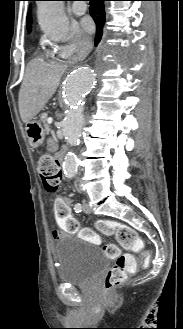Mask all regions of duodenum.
Here are the masks:
<instances>
[{
  "label": "duodenum",
  "mask_w": 183,
  "mask_h": 329,
  "mask_svg": "<svg viewBox=\"0 0 183 329\" xmlns=\"http://www.w3.org/2000/svg\"><path fill=\"white\" fill-rule=\"evenodd\" d=\"M59 160H60V162H62V161H63V157H62V155H61V154L59 155Z\"/></svg>",
  "instance_id": "obj_1"
}]
</instances>
